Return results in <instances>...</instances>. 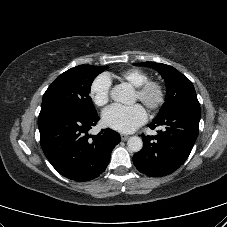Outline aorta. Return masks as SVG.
Instances as JSON below:
<instances>
[{
  "instance_id": "aorta-1",
  "label": "aorta",
  "mask_w": 227,
  "mask_h": 227,
  "mask_svg": "<svg viewBox=\"0 0 227 227\" xmlns=\"http://www.w3.org/2000/svg\"><path fill=\"white\" fill-rule=\"evenodd\" d=\"M132 94L131 88L126 84L116 85L110 92L112 100L121 103H128ZM128 149L132 152H139L143 147L142 139L138 136H132L127 141Z\"/></svg>"
}]
</instances>
